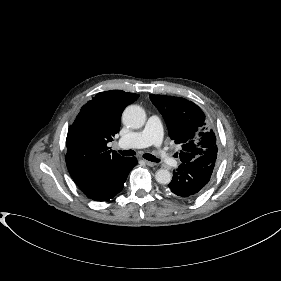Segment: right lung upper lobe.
<instances>
[{
    "instance_id": "obj_1",
    "label": "right lung upper lobe",
    "mask_w": 281,
    "mask_h": 281,
    "mask_svg": "<svg viewBox=\"0 0 281 281\" xmlns=\"http://www.w3.org/2000/svg\"><path fill=\"white\" fill-rule=\"evenodd\" d=\"M138 97L121 90L98 93L81 108L69 127L66 164L82 191L97 185L125 158L111 153L107 143L119 132L123 110Z\"/></svg>"
}]
</instances>
